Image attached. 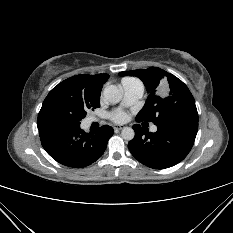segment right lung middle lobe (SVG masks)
<instances>
[{"mask_svg":"<svg viewBox=\"0 0 233 233\" xmlns=\"http://www.w3.org/2000/svg\"><path fill=\"white\" fill-rule=\"evenodd\" d=\"M99 98L100 92L85 88L68 78L54 87L45 98L37 126L61 129L80 126L88 110L100 107Z\"/></svg>","mask_w":233,"mask_h":233,"instance_id":"right-lung-middle-lobe-1","label":"right lung middle lobe"}]
</instances>
